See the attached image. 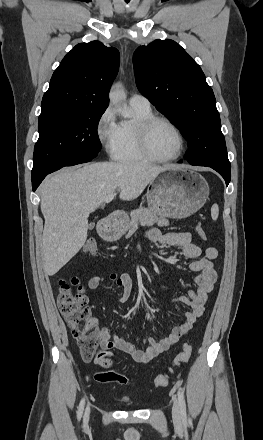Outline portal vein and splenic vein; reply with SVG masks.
Wrapping results in <instances>:
<instances>
[{
    "instance_id": "18ae733b",
    "label": "portal vein and splenic vein",
    "mask_w": 263,
    "mask_h": 440,
    "mask_svg": "<svg viewBox=\"0 0 263 440\" xmlns=\"http://www.w3.org/2000/svg\"><path fill=\"white\" fill-rule=\"evenodd\" d=\"M115 197V192L111 193L104 199V203H110Z\"/></svg>"
}]
</instances>
